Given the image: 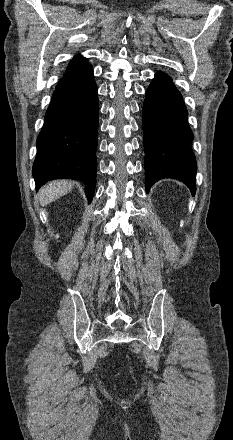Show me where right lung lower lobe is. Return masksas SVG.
<instances>
[{
	"label": "right lung lower lobe",
	"mask_w": 233,
	"mask_h": 440,
	"mask_svg": "<svg viewBox=\"0 0 233 440\" xmlns=\"http://www.w3.org/2000/svg\"><path fill=\"white\" fill-rule=\"evenodd\" d=\"M98 111L92 66L61 78L37 138L32 171L37 188L51 179L80 180L91 202L97 170Z\"/></svg>",
	"instance_id": "98d812e1"
}]
</instances>
